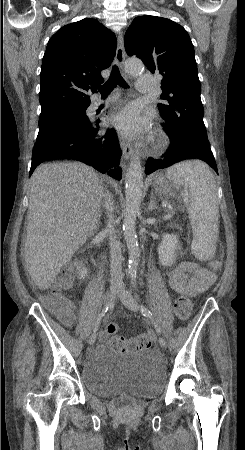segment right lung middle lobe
<instances>
[{
  "label": "right lung middle lobe",
  "mask_w": 245,
  "mask_h": 450,
  "mask_svg": "<svg viewBox=\"0 0 245 450\" xmlns=\"http://www.w3.org/2000/svg\"><path fill=\"white\" fill-rule=\"evenodd\" d=\"M86 109L87 105H83L57 107L41 111L36 144L52 137L55 134L54 130L65 125L66 122H69L73 117L86 119Z\"/></svg>",
  "instance_id": "dd1d6c3e"
}]
</instances>
